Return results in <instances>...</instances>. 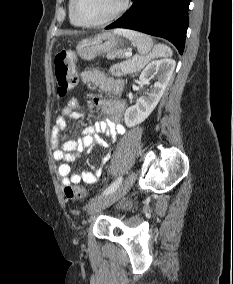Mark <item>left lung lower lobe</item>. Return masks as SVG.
<instances>
[{"label":"left lung lower lobe","instance_id":"obj_1","mask_svg":"<svg viewBox=\"0 0 233 284\" xmlns=\"http://www.w3.org/2000/svg\"><path fill=\"white\" fill-rule=\"evenodd\" d=\"M191 0H133L129 11L106 29L127 28L169 40L182 54Z\"/></svg>","mask_w":233,"mask_h":284}]
</instances>
